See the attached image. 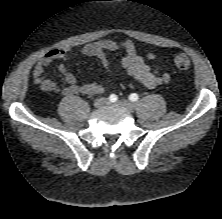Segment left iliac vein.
<instances>
[{"label":"left iliac vein","mask_w":222,"mask_h":219,"mask_svg":"<svg viewBox=\"0 0 222 219\" xmlns=\"http://www.w3.org/2000/svg\"><path fill=\"white\" fill-rule=\"evenodd\" d=\"M117 104L129 112H131L134 109L133 103L129 100L122 99L118 101Z\"/></svg>","instance_id":"1"}]
</instances>
